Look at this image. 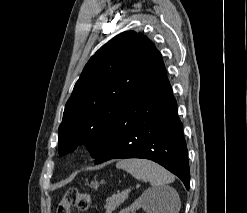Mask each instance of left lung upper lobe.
I'll use <instances>...</instances> for the list:
<instances>
[{
    "instance_id": "obj_1",
    "label": "left lung upper lobe",
    "mask_w": 247,
    "mask_h": 213,
    "mask_svg": "<svg viewBox=\"0 0 247 213\" xmlns=\"http://www.w3.org/2000/svg\"><path fill=\"white\" fill-rule=\"evenodd\" d=\"M162 62L153 43L134 31L102 46L84 67L66 103L59 126V154L85 144L97 158L126 102L136 95L147 71Z\"/></svg>"
}]
</instances>
